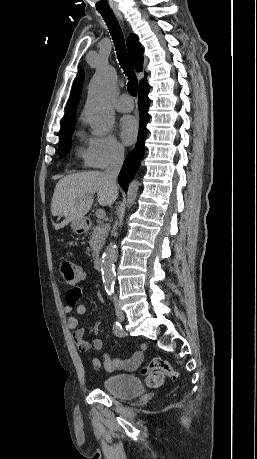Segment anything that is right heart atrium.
<instances>
[{"instance_id": "d8ad5b80", "label": "right heart atrium", "mask_w": 257, "mask_h": 459, "mask_svg": "<svg viewBox=\"0 0 257 459\" xmlns=\"http://www.w3.org/2000/svg\"><path fill=\"white\" fill-rule=\"evenodd\" d=\"M86 151L89 165L99 169L120 161L124 155L123 145L111 134L89 137Z\"/></svg>"}]
</instances>
